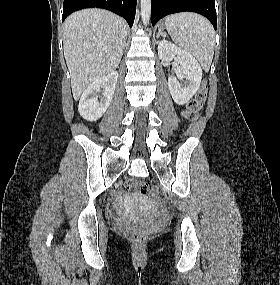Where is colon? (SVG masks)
Masks as SVG:
<instances>
[{
    "mask_svg": "<svg viewBox=\"0 0 280 285\" xmlns=\"http://www.w3.org/2000/svg\"><path fill=\"white\" fill-rule=\"evenodd\" d=\"M207 96V89L205 85H203L195 94V96L187 103L184 117L189 120L195 119L198 114L202 111ZM127 187L138 195H145L148 192V185L144 182L137 180H129L127 182ZM157 198H159L158 194H155ZM146 233L144 232H134L132 235V240L136 243H141L146 239Z\"/></svg>",
    "mask_w": 280,
    "mask_h": 285,
    "instance_id": "obj_1",
    "label": "colon"
}]
</instances>
